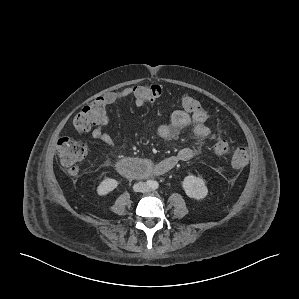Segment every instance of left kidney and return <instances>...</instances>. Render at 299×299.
<instances>
[{
	"instance_id": "1",
	"label": "left kidney",
	"mask_w": 299,
	"mask_h": 299,
	"mask_svg": "<svg viewBox=\"0 0 299 299\" xmlns=\"http://www.w3.org/2000/svg\"><path fill=\"white\" fill-rule=\"evenodd\" d=\"M183 189L186 195L194 199H203L208 194V189L202 178L194 175H188L182 182Z\"/></svg>"
}]
</instances>
